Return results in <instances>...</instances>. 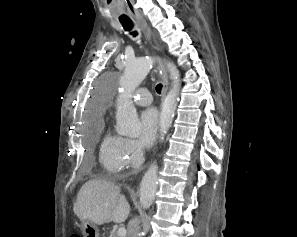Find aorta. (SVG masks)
<instances>
[{"mask_svg":"<svg viewBox=\"0 0 297 237\" xmlns=\"http://www.w3.org/2000/svg\"><path fill=\"white\" fill-rule=\"evenodd\" d=\"M154 63L153 58H136L127 61L125 70L120 79L123 92L117 101L116 130L120 135L138 136L141 133V124L132 101V94L150 72ZM170 73L172 86L162 106L160 114V132L167 133L173 121L181 91L180 73L172 62L166 61ZM158 166L153 164L145 172L140 183V203L144 209L153 204L158 186Z\"/></svg>","mask_w":297,"mask_h":237,"instance_id":"1","label":"aorta"}]
</instances>
